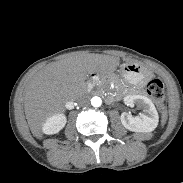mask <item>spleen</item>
<instances>
[{"instance_id":"spleen-1","label":"spleen","mask_w":183,"mask_h":183,"mask_svg":"<svg viewBox=\"0 0 183 183\" xmlns=\"http://www.w3.org/2000/svg\"><path fill=\"white\" fill-rule=\"evenodd\" d=\"M166 119H167V114L164 113L163 119H162V125H164L166 123Z\"/></svg>"}]
</instances>
